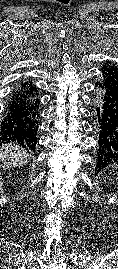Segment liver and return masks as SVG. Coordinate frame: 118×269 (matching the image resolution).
<instances>
[{"mask_svg": "<svg viewBox=\"0 0 118 269\" xmlns=\"http://www.w3.org/2000/svg\"><path fill=\"white\" fill-rule=\"evenodd\" d=\"M29 154L19 145L5 144L0 149V161L3 168L22 166L27 163Z\"/></svg>", "mask_w": 118, "mask_h": 269, "instance_id": "obj_1", "label": "liver"}]
</instances>
